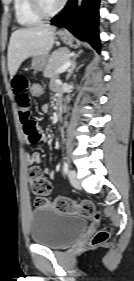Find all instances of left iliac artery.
<instances>
[{"label":"left iliac artery","instance_id":"left-iliac-artery-1","mask_svg":"<svg viewBox=\"0 0 134 281\" xmlns=\"http://www.w3.org/2000/svg\"><path fill=\"white\" fill-rule=\"evenodd\" d=\"M63 171H64V174H67V172H68V163L66 161L63 164Z\"/></svg>","mask_w":134,"mask_h":281}]
</instances>
